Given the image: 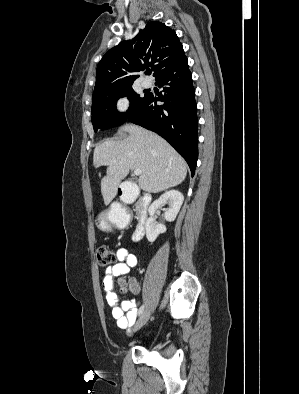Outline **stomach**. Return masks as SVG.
I'll list each match as a JSON object with an SVG mask.
<instances>
[{
    "label": "stomach",
    "instance_id": "1",
    "mask_svg": "<svg viewBox=\"0 0 299 394\" xmlns=\"http://www.w3.org/2000/svg\"><path fill=\"white\" fill-rule=\"evenodd\" d=\"M113 222L114 218L112 212H102L95 220V224L102 231H109Z\"/></svg>",
    "mask_w": 299,
    "mask_h": 394
}]
</instances>
